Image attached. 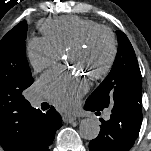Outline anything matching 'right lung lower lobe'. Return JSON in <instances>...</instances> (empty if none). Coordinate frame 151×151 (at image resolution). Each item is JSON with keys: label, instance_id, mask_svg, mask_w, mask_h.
Segmentation results:
<instances>
[{"label": "right lung lower lobe", "instance_id": "98d812e1", "mask_svg": "<svg viewBox=\"0 0 151 151\" xmlns=\"http://www.w3.org/2000/svg\"><path fill=\"white\" fill-rule=\"evenodd\" d=\"M38 116L41 133L35 151H50L49 146L54 140L56 130L62 126V118L54 107H51L46 114L39 110Z\"/></svg>", "mask_w": 151, "mask_h": 151}]
</instances>
